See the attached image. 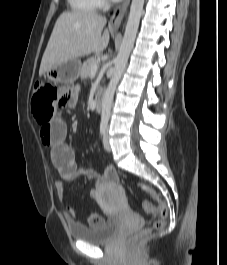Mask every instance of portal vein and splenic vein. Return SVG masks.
I'll use <instances>...</instances> for the list:
<instances>
[{
	"instance_id": "portal-vein-and-splenic-vein-1",
	"label": "portal vein and splenic vein",
	"mask_w": 227,
	"mask_h": 265,
	"mask_svg": "<svg viewBox=\"0 0 227 265\" xmlns=\"http://www.w3.org/2000/svg\"><path fill=\"white\" fill-rule=\"evenodd\" d=\"M97 71H98V65H93L91 67V75L92 76L95 75L97 73Z\"/></svg>"
}]
</instances>
